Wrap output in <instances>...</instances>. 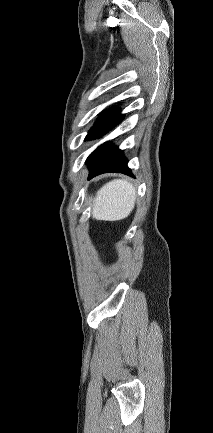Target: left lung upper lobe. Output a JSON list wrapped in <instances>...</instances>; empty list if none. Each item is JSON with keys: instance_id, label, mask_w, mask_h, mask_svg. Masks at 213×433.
<instances>
[{"instance_id": "5c2ea615", "label": "left lung upper lobe", "mask_w": 213, "mask_h": 433, "mask_svg": "<svg viewBox=\"0 0 213 433\" xmlns=\"http://www.w3.org/2000/svg\"><path fill=\"white\" fill-rule=\"evenodd\" d=\"M124 116L120 115L119 109L106 111L102 113L98 120L95 122L94 126L89 131L88 135L85 138V141L92 140L95 138H99L108 132L111 128H113L116 124H118ZM105 144L99 146L94 152L90 154L87 158L86 163H90L96 155L101 151Z\"/></svg>"}]
</instances>
